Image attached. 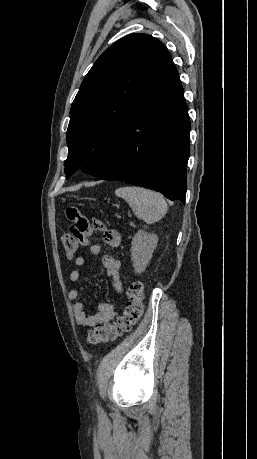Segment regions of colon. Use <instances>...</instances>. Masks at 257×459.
Masks as SVG:
<instances>
[{
  "label": "colon",
  "instance_id": "colon-1",
  "mask_svg": "<svg viewBox=\"0 0 257 459\" xmlns=\"http://www.w3.org/2000/svg\"><path fill=\"white\" fill-rule=\"evenodd\" d=\"M61 240L65 255L72 258L79 248L77 241L74 240V236H68L65 233ZM126 294L128 301L123 314L113 323L99 325L91 330L86 340L88 345H98L114 341L125 333H128L140 320L144 312V286L140 282H133L129 285Z\"/></svg>",
  "mask_w": 257,
  "mask_h": 459
}]
</instances>
